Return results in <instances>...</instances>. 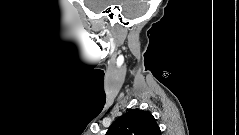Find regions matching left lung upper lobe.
I'll use <instances>...</instances> for the list:
<instances>
[{
	"mask_svg": "<svg viewBox=\"0 0 239 135\" xmlns=\"http://www.w3.org/2000/svg\"><path fill=\"white\" fill-rule=\"evenodd\" d=\"M106 135H161V131L151 113L132 109L115 120Z\"/></svg>",
	"mask_w": 239,
	"mask_h": 135,
	"instance_id": "1",
	"label": "left lung upper lobe"
}]
</instances>
